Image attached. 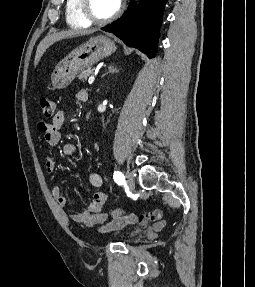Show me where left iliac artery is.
<instances>
[{"label":"left iliac artery","instance_id":"obj_1","mask_svg":"<svg viewBox=\"0 0 255 287\" xmlns=\"http://www.w3.org/2000/svg\"><path fill=\"white\" fill-rule=\"evenodd\" d=\"M113 178H114V181L118 184V185H122L124 184L125 182V177L124 175L119 172V171H115L114 174H113Z\"/></svg>","mask_w":255,"mask_h":287}]
</instances>
